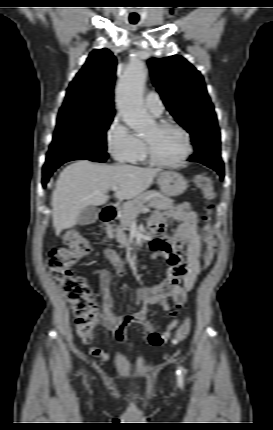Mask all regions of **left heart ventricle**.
Here are the masks:
<instances>
[{
	"instance_id": "b2bd125f",
	"label": "left heart ventricle",
	"mask_w": 273,
	"mask_h": 430,
	"mask_svg": "<svg viewBox=\"0 0 273 430\" xmlns=\"http://www.w3.org/2000/svg\"><path fill=\"white\" fill-rule=\"evenodd\" d=\"M153 148L156 157L162 161H175L185 150L183 135L172 128L158 129L153 125L145 134Z\"/></svg>"
}]
</instances>
